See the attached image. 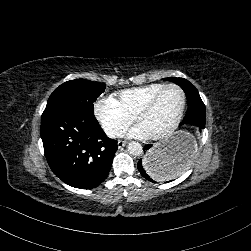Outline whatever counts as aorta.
<instances>
[{
  "label": "aorta",
  "mask_w": 251,
  "mask_h": 251,
  "mask_svg": "<svg viewBox=\"0 0 251 251\" xmlns=\"http://www.w3.org/2000/svg\"><path fill=\"white\" fill-rule=\"evenodd\" d=\"M126 149L131 155H139L142 152V146L137 141L128 143Z\"/></svg>",
  "instance_id": "aorta-1"
}]
</instances>
